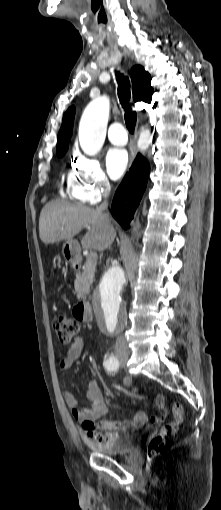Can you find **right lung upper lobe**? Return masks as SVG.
Masks as SVG:
<instances>
[{
    "mask_svg": "<svg viewBox=\"0 0 221 510\" xmlns=\"http://www.w3.org/2000/svg\"><path fill=\"white\" fill-rule=\"evenodd\" d=\"M132 80L133 100L151 103L153 88L151 87V76L144 70L142 66H134L130 72ZM156 103L154 104V106ZM75 108L71 107L67 110L63 117L62 125L57 139L56 152L67 150V143L71 138L73 129V119Z\"/></svg>",
    "mask_w": 221,
    "mask_h": 510,
    "instance_id": "obj_1",
    "label": "right lung upper lobe"
}]
</instances>
